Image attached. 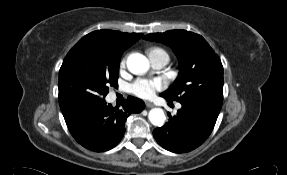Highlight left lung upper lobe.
<instances>
[{"mask_svg":"<svg viewBox=\"0 0 287 175\" xmlns=\"http://www.w3.org/2000/svg\"><path fill=\"white\" fill-rule=\"evenodd\" d=\"M144 39L171 46L179 60L177 79L161 95L217 119L223 101V66L205 39L185 30L149 34Z\"/></svg>","mask_w":287,"mask_h":175,"instance_id":"5c2ea615","label":"left lung upper lobe"}]
</instances>
